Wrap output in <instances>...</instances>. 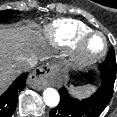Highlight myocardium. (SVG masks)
Returning <instances> with one entry per match:
<instances>
[{
	"mask_svg": "<svg viewBox=\"0 0 117 117\" xmlns=\"http://www.w3.org/2000/svg\"><path fill=\"white\" fill-rule=\"evenodd\" d=\"M94 36L102 38L103 47L98 53L94 55H87L84 51L85 44L90 38ZM107 49L108 42L105 35L99 31L91 30L79 35L70 46V60L78 67H88L101 60L105 56Z\"/></svg>",
	"mask_w": 117,
	"mask_h": 117,
	"instance_id": "f54148a6",
	"label": "myocardium"
}]
</instances>
